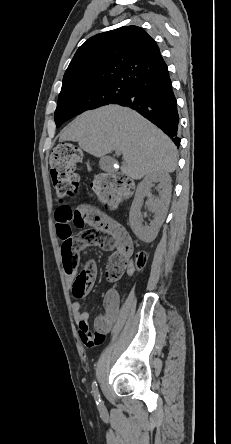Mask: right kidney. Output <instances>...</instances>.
I'll return each instance as SVG.
<instances>
[{
    "label": "right kidney",
    "mask_w": 231,
    "mask_h": 444,
    "mask_svg": "<svg viewBox=\"0 0 231 444\" xmlns=\"http://www.w3.org/2000/svg\"><path fill=\"white\" fill-rule=\"evenodd\" d=\"M153 183H158L159 197H155L151 194V186ZM171 177L165 172H154L148 174L144 180L138 185L135 198L132 203L129 221L132 231L135 235L144 242L153 241L163 224L167 210L171 199ZM148 196L147 207L152 211L154 220L150 222V225H143V216L141 208L143 205L144 197Z\"/></svg>",
    "instance_id": "obj_1"
}]
</instances>
